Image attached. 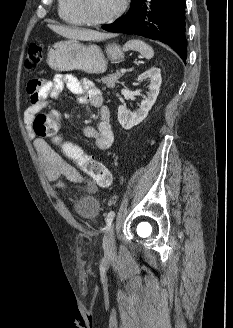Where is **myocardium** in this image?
Listing matches in <instances>:
<instances>
[{"label":"myocardium","mask_w":233,"mask_h":328,"mask_svg":"<svg viewBox=\"0 0 233 328\" xmlns=\"http://www.w3.org/2000/svg\"><path fill=\"white\" fill-rule=\"evenodd\" d=\"M75 1H76V7L80 12V14L82 15L85 23L91 26H100L116 20L117 18H119L121 15L125 13L129 4V0H122L119 7L114 12H112L111 14H109L104 18L95 19L88 14L85 0H75Z\"/></svg>","instance_id":"obj_1"}]
</instances>
